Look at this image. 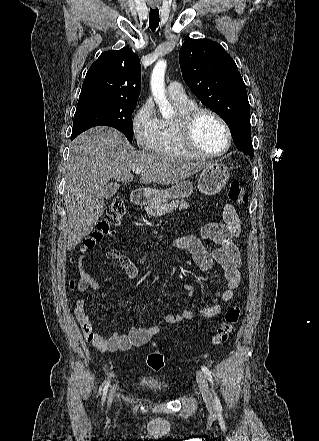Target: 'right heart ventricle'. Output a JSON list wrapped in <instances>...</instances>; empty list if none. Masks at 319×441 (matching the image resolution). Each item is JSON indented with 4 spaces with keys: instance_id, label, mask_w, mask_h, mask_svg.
I'll list each match as a JSON object with an SVG mask.
<instances>
[{
    "instance_id": "1",
    "label": "right heart ventricle",
    "mask_w": 319,
    "mask_h": 441,
    "mask_svg": "<svg viewBox=\"0 0 319 441\" xmlns=\"http://www.w3.org/2000/svg\"><path fill=\"white\" fill-rule=\"evenodd\" d=\"M177 114L172 119H160L158 135L154 146L152 148L153 152L169 157L183 158V159H198V157L189 153L181 144L179 139L178 127H177V117L195 107L196 105L187 100L185 102H179L173 100Z\"/></svg>"
}]
</instances>
